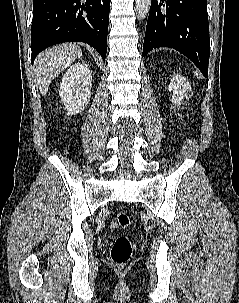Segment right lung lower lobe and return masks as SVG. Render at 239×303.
I'll list each match as a JSON object with an SVG mask.
<instances>
[{
    "instance_id": "98d812e1",
    "label": "right lung lower lobe",
    "mask_w": 239,
    "mask_h": 303,
    "mask_svg": "<svg viewBox=\"0 0 239 303\" xmlns=\"http://www.w3.org/2000/svg\"><path fill=\"white\" fill-rule=\"evenodd\" d=\"M110 0H34L31 26L32 63L44 49L80 41L105 60Z\"/></svg>"
}]
</instances>
